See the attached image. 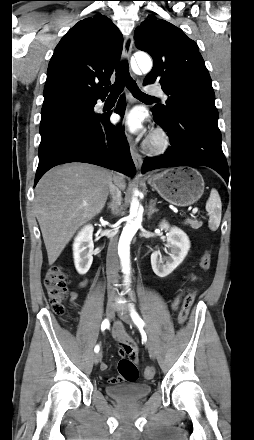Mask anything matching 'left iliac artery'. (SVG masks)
Masks as SVG:
<instances>
[{
	"mask_svg": "<svg viewBox=\"0 0 254 440\" xmlns=\"http://www.w3.org/2000/svg\"><path fill=\"white\" fill-rule=\"evenodd\" d=\"M131 318L138 327H143L145 325L144 321L141 319V317L138 315L133 307L131 308Z\"/></svg>",
	"mask_w": 254,
	"mask_h": 440,
	"instance_id": "1",
	"label": "left iliac artery"
}]
</instances>
